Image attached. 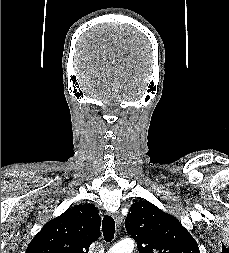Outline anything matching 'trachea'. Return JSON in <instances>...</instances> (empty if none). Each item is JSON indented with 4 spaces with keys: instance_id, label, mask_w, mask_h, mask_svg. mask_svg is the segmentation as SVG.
Here are the masks:
<instances>
[{
    "instance_id": "obj_1",
    "label": "trachea",
    "mask_w": 229,
    "mask_h": 253,
    "mask_svg": "<svg viewBox=\"0 0 229 253\" xmlns=\"http://www.w3.org/2000/svg\"><path fill=\"white\" fill-rule=\"evenodd\" d=\"M102 231L104 240L106 242H110L113 239L115 233V221L111 216H104L102 221Z\"/></svg>"
}]
</instances>
